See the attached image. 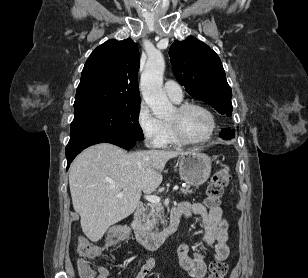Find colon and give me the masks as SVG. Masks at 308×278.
Listing matches in <instances>:
<instances>
[{"label": "colon", "instance_id": "1", "mask_svg": "<svg viewBox=\"0 0 308 278\" xmlns=\"http://www.w3.org/2000/svg\"><path fill=\"white\" fill-rule=\"evenodd\" d=\"M231 183V175L226 169L217 170L207 188L206 204L209 208L219 206L220 198L224 189ZM130 226H112V229L105 236V245L112 247L114 241L125 242V237H130ZM77 252L80 257L86 260H95L101 253V247L91 242L86 237L80 236L77 241ZM227 273V265L222 260L215 259L209 267L207 278H224ZM81 278H96L94 270L87 264L80 266Z\"/></svg>", "mask_w": 308, "mask_h": 278}]
</instances>
